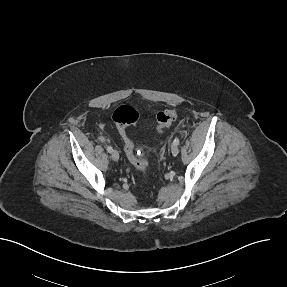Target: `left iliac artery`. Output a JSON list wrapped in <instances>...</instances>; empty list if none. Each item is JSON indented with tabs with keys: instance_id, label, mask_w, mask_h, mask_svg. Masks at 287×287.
Wrapping results in <instances>:
<instances>
[{
	"instance_id": "1",
	"label": "left iliac artery",
	"mask_w": 287,
	"mask_h": 287,
	"mask_svg": "<svg viewBox=\"0 0 287 287\" xmlns=\"http://www.w3.org/2000/svg\"><path fill=\"white\" fill-rule=\"evenodd\" d=\"M173 143H175L176 145H179L180 141H179L178 138H175L174 141H173Z\"/></svg>"
}]
</instances>
